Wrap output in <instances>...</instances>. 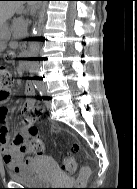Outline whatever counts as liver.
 <instances>
[{"mask_svg":"<svg viewBox=\"0 0 137 189\" xmlns=\"http://www.w3.org/2000/svg\"><path fill=\"white\" fill-rule=\"evenodd\" d=\"M22 1H0V27L5 25L16 10L22 5ZM32 7H36V2H30Z\"/></svg>","mask_w":137,"mask_h":189,"instance_id":"liver-1","label":"liver"}]
</instances>
